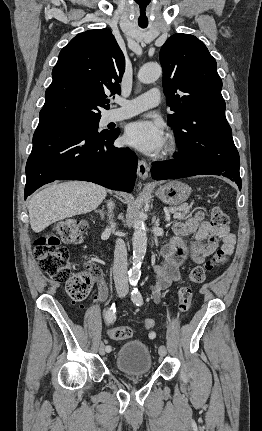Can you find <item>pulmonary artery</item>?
<instances>
[{"mask_svg":"<svg viewBox=\"0 0 262 431\" xmlns=\"http://www.w3.org/2000/svg\"><path fill=\"white\" fill-rule=\"evenodd\" d=\"M117 102L121 107L110 111L107 116L109 122H116L132 117L159 105L161 103V94L159 89L154 87L133 99L119 98Z\"/></svg>","mask_w":262,"mask_h":431,"instance_id":"obj_1","label":"pulmonary artery"}]
</instances>
